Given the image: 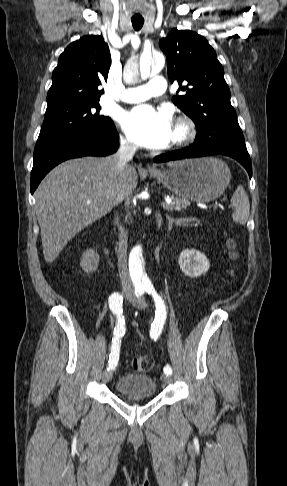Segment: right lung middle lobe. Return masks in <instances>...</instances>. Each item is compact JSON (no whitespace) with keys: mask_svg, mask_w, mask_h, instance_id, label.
Returning <instances> with one entry per match:
<instances>
[{"mask_svg":"<svg viewBox=\"0 0 287 486\" xmlns=\"http://www.w3.org/2000/svg\"><path fill=\"white\" fill-rule=\"evenodd\" d=\"M99 99L71 101L47 107L38 140L92 135L113 124L100 115Z\"/></svg>","mask_w":287,"mask_h":486,"instance_id":"right-lung-middle-lobe-1","label":"right lung middle lobe"}]
</instances>
